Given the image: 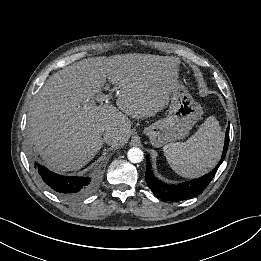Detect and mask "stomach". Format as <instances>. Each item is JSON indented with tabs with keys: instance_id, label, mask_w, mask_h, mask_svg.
Wrapping results in <instances>:
<instances>
[{
	"instance_id": "1",
	"label": "stomach",
	"mask_w": 261,
	"mask_h": 261,
	"mask_svg": "<svg viewBox=\"0 0 261 261\" xmlns=\"http://www.w3.org/2000/svg\"><path fill=\"white\" fill-rule=\"evenodd\" d=\"M203 113L187 87L179 79L171 92V104L168 115L144 128L151 144L161 147L167 143L184 138Z\"/></svg>"
}]
</instances>
